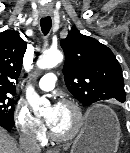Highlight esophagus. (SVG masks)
I'll list each match as a JSON object with an SVG mask.
<instances>
[{"instance_id": "esophagus-1", "label": "esophagus", "mask_w": 130, "mask_h": 153, "mask_svg": "<svg viewBox=\"0 0 130 153\" xmlns=\"http://www.w3.org/2000/svg\"><path fill=\"white\" fill-rule=\"evenodd\" d=\"M48 153H55V151L54 150H49Z\"/></svg>"}]
</instances>
